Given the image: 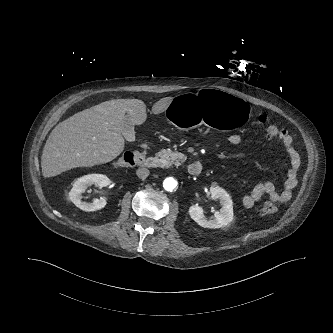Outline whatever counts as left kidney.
<instances>
[{"instance_id": "5707ae66", "label": "left kidney", "mask_w": 333, "mask_h": 333, "mask_svg": "<svg viewBox=\"0 0 333 333\" xmlns=\"http://www.w3.org/2000/svg\"><path fill=\"white\" fill-rule=\"evenodd\" d=\"M210 193L212 199H219L222 208L214 212V217L207 219L203 214V209L198 205L189 208L190 217L204 228H221L230 224L233 220V202L229 194L219 186H211Z\"/></svg>"}]
</instances>
